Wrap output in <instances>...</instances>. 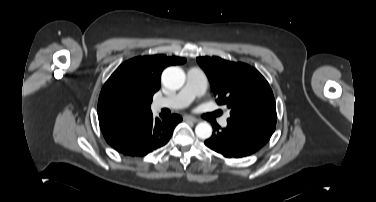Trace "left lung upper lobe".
Instances as JSON below:
<instances>
[{"label": "left lung upper lobe", "mask_w": 376, "mask_h": 202, "mask_svg": "<svg viewBox=\"0 0 376 202\" xmlns=\"http://www.w3.org/2000/svg\"><path fill=\"white\" fill-rule=\"evenodd\" d=\"M219 105L230 110L229 120L275 131L276 105L266 79L253 67L219 57H198Z\"/></svg>", "instance_id": "obj_1"}]
</instances>
